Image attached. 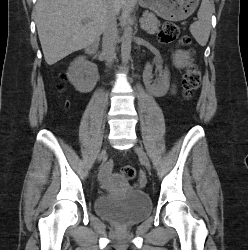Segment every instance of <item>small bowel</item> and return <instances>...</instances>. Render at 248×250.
Masks as SVG:
<instances>
[{"instance_id": "c3829d8e", "label": "small bowel", "mask_w": 248, "mask_h": 250, "mask_svg": "<svg viewBox=\"0 0 248 250\" xmlns=\"http://www.w3.org/2000/svg\"><path fill=\"white\" fill-rule=\"evenodd\" d=\"M173 61L176 65L177 68L179 69H184L185 67H187L188 65L191 64L192 60L190 58V56L184 51V50H176L174 52L173 55ZM152 87L159 91V87H158V82L154 81L152 83ZM174 91V87L171 88V92ZM111 172V167L110 165L106 164L103 166L102 170H101V177L102 179H107L108 176L110 175Z\"/></svg>"}]
</instances>
